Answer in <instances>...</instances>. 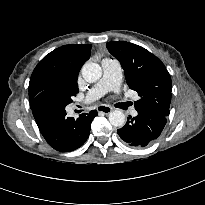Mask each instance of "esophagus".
<instances>
[{
    "instance_id": "1",
    "label": "esophagus",
    "mask_w": 205,
    "mask_h": 205,
    "mask_svg": "<svg viewBox=\"0 0 205 205\" xmlns=\"http://www.w3.org/2000/svg\"><path fill=\"white\" fill-rule=\"evenodd\" d=\"M97 111L104 114H109L112 111V108L106 105H100L97 107Z\"/></svg>"
}]
</instances>
